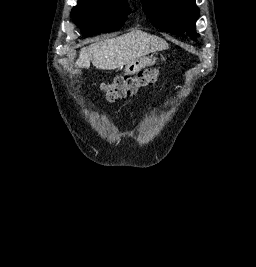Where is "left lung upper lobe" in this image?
Listing matches in <instances>:
<instances>
[{
	"instance_id": "5c2ea615",
	"label": "left lung upper lobe",
	"mask_w": 256,
	"mask_h": 267,
	"mask_svg": "<svg viewBox=\"0 0 256 267\" xmlns=\"http://www.w3.org/2000/svg\"><path fill=\"white\" fill-rule=\"evenodd\" d=\"M143 10L151 23L162 31L172 34L187 32L194 35L195 23L198 19V8L195 0H142Z\"/></svg>"
}]
</instances>
